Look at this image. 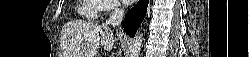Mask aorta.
<instances>
[{"instance_id": "obj_1", "label": "aorta", "mask_w": 249, "mask_h": 57, "mask_svg": "<svg viewBox=\"0 0 249 57\" xmlns=\"http://www.w3.org/2000/svg\"><path fill=\"white\" fill-rule=\"evenodd\" d=\"M144 36L142 31H138L132 40L130 57H139L141 48L143 46Z\"/></svg>"}]
</instances>
